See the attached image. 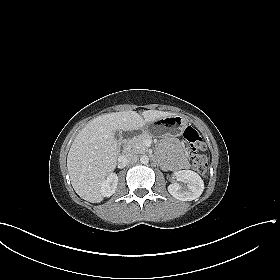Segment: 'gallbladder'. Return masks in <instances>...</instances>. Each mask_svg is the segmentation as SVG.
Wrapping results in <instances>:
<instances>
[{
  "label": "gallbladder",
  "mask_w": 280,
  "mask_h": 280,
  "mask_svg": "<svg viewBox=\"0 0 280 280\" xmlns=\"http://www.w3.org/2000/svg\"><path fill=\"white\" fill-rule=\"evenodd\" d=\"M115 138L119 141V139H120V133H119V131H116V132H115Z\"/></svg>",
  "instance_id": "bac80fb5"
}]
</instances>
